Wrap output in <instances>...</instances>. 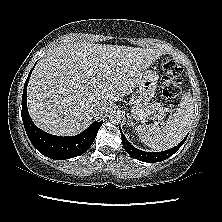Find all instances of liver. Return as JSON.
<instances>
[{
    "mask_svg": "<svg viewBox=\"0 0 222 222\" xmlns=\"http://www.w3.org/2000/svg\"><path fill=\"white\" fill-rule=\"evenodd\" d=\"M163 54L152 48L61 44L33 70L27 90L29 114L48 133L75 135L96 117L91 108L101 105L105 112L132 93L143 72Z\"/></svg>",
    "mask_w": 222,
    "mask_h": 222,
    "instance_id": "1",
    "label": "liver"
}]
</instances>
